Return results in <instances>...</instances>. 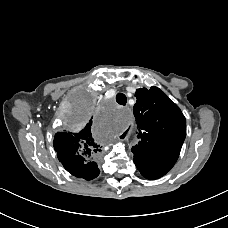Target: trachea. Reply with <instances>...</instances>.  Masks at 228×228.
<instances>
[{"label":"trachea","mask_w":228,"mask_h":228,"mask_svg":"<svg viewBox=\"0 0 228 228\" xmlns=\"http://www.w3.org/2000/svg\"><path fill=\"white\" fill-rule=\"evenodd\" d=\"M116 101H117V103L120 104V105H126V103H127V98H126L125 94H123V93H118V94L116 95Z\"/></svg>","instance_id":"3493384b"}]
</instances>
